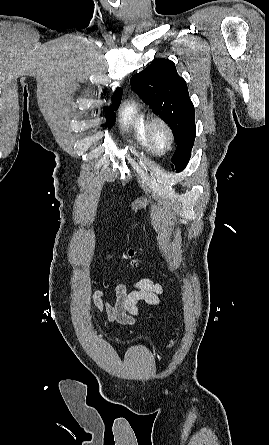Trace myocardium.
Wrapping results in <instances>:
<instances>
[{"label": "myocardium", "mask_w": 269, "mask_h": 445, "mask_svg": "<svg viewBox=\"0 0 269 445\" xmlns=\"http://www.w3.org/2000/svg\"><path fill=\"white\" fill-rule=\"evenodd\" d=\"M157 129L162 130L167 137V145L164 148H160L154 139V134ZM146 139L151 150L159 155H165L173 148L175 136L170 124L161 117H153L148 120L146 124Z\"/></svg>", "instance_id": "myocardium-1"}]
</instances>
